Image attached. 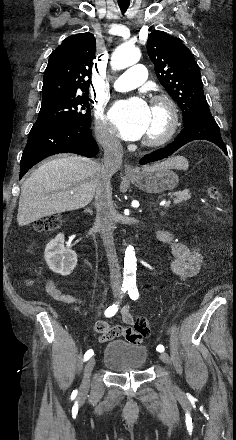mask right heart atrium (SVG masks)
Masks as SVG:
<instances>
[{
  "instance_id": "right-heart-atrium-1",
  "label": "right heart atrium",
  "mask_w": 236,
  "mask_h": 440,
  "mask_svg": "<svg viewBox=\"0 0 236 440\" xmlns=\"http://www.w3.org/2000/svg\"><path fill=\"white\" fill-rule=\"evenodd\" d=\"M95 136L97 141L108 150H115L118 147L116 135L101 109L96 112Z\"/></svg>"
}]
</instances>
